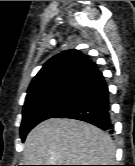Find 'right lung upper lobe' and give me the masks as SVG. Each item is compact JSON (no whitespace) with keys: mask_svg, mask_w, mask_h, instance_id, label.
Masks as SVG:
<instances>
[{"mask_svg":"<svg viewBox=\"0 0 135 166\" xmlns=\"http://www.w3.org/2000/svg\"><path fill=\"white\" fill-rule=\"evenodd\" d=\"M95 70L96 64L80 51H63L49 59L34 77L28 88L25 103L59 87L68 86Z\"/></svg>","mask_w":135,"mask_h":166,"instance_id":"right-lung-upper-lobe-1","label":"right lung upper lobe"}]
</instances>
